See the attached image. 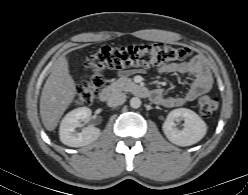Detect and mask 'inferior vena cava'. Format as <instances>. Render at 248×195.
I'll return each instance as SVG.
<instances>
[{
    "mask_svg": "<svg viewBox=\"0 0 248 195\" xmlns=\"http://www.w3.org/2000/svg\"><path fill=\"white\" fill-rule=\"evenodd\" d=\"M126 101V95L120 91H116L111 94L108 99V105L110 107H116L122 105Z\"/></svg>",
    "mask_w": 248,
    "mask_h": 195,
    "instance_id": "inferior-vena-cava-1",
    "label": "inferior vena cava"
}]
</instances>
